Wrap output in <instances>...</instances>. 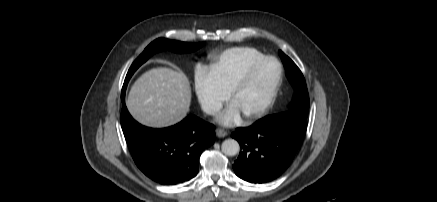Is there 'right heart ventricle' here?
Masks as SVG:
<instances>
[{"instance_id": "obj_1", "label": "right heart ventricle", "mask_w": 437, "mask_h": 202, "mask_svg": "<svg viewBox=\"0 0 437 202\" xmlns=\"http://www.w3.org/2000/svg\"><path fill=\"white\" fill-rule=\"evenodd\" d=\"M265 55L253 47L241 46L225 50L211 65L218 80L229 91L242 76L248 66Z\"/></svg>"}]
</instances>
